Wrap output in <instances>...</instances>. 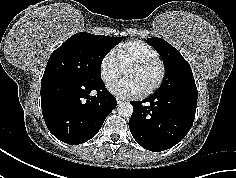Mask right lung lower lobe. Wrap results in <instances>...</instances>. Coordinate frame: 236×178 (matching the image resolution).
Returning <instances> with one entry per match:
<instances>
[{
    "mask_svg": "<svg viewBox=\"0 0 236 178\" xmlns=\"http://www.w3.org/2000/svg\"><path fill=\"white\" fill-rule=\"evenodd\" d=\"M93 90L97 94L92 97ZM116 106L103 81L89 84L58 77L41 81L43 118L49 131L64 143L77 145L93 138Z\"/></svg>",
    "mask_w": 236,
    "mask_h": 178,
    "instance_id": "98d812e1",
    "label": "right lung lower lobe"
}]
</instances>
